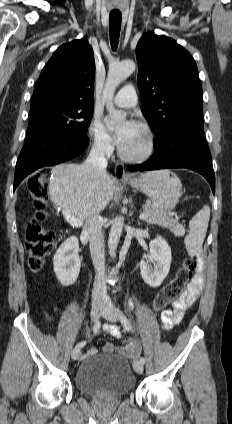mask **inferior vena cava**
I'll return each instance as SVG.
<instances>
[{
  "label": "inferior vena cava",
  "instance_id": "1",
  "mask_svg": "<svg viewBox=\"0 0 232 424\" xmlns=\"http://www.w3.org/2000/svg\"><path fill=\"white\" fill-rule=\"evenodd\" d=\"M105 148V143L95 142L85 161L87 170L97 180H102L107 176V159L104 156ZM83 234L89 237L91 257L96 271L92 290V303H102L107 299V289L104 278V235L102 232V217L99 214L92 215L85 220Z\"/></svg>",
  "mask_w": 232,
  "mask_h": 424
}]
</instances>
